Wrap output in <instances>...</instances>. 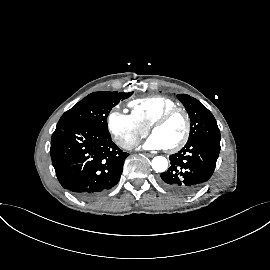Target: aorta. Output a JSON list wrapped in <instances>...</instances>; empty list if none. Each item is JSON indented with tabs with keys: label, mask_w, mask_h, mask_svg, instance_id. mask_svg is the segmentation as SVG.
<instances>
[{
	"label": "aorta",
	"mask_w": 270,
	"mask_h": 270,
	"mask_svg": "<svg viewBox=\"0 0 270 270\" xmlns=\"http://www.w3.org/2000/svg\"><path fill=\"white\" fill-rule=\"evenodd\" d=\"M151 166L156 172H164L168 168V161L163 156H156L153 158Z\"/></svg>",
	"instance_id": "1"
}]
</instances>
